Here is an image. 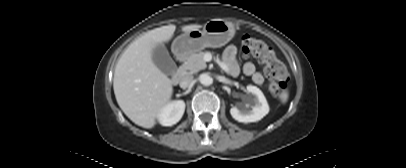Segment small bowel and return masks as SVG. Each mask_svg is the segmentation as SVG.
Returning a JSON list of instances; mask_svg holds the SVG:
<instances>
[{"instance_id":"1","label":"small bowel","mask_w":406,"mask_h":168,"mask_svg":"<svg viewBox=\"0 0 406 168\" xmlns=\"http://www.w3.org/2000/svg\"><path fill=\"white\" fill-rule=\"evenodd\" d=\"M237 58V48L234 45H229L223 52V60L227 65V72L232 75L236 76L239 73V66L236 62ZM243 72L247 76H250L252 81L260 85L264 82L263 75L256 70V67L251 62H246L243 65Z\"/></svg>"}]
</instances>
